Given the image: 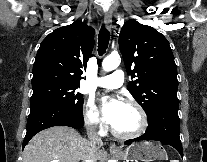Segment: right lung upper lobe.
<instances>
[{"instance_id": "cb5924a9", "label": "right lung upper lobe", "mask_w": 207, "mask_h": 162, "mask_svg": "<svg viewBox=\"0 0 207 162\" xmlns=\"http://www.w3.org/2000/svg\"><path fill=\"white\" fill-rule=\"evenodd\" d=\"M93 28L82 21L55 29L41 43L33 65L32 86H78L94 46Z\"/></svg>"}]
</instances>
